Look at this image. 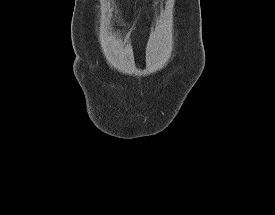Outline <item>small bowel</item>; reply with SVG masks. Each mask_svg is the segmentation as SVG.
Segmentation results:
<instances>
[{
    "label": "small bowel",
    "mask_w": 275,
    "mask_h": 215,
    "mask_svg": "<svg viewBox=\"0 0 275 215\" xmlns=\"http://www.w3.org/2000/svg\"><path fill=\"white\" fill-rule=\"evenodd\" d=\"M135 26H131L125 37H131L134 34Z\"/></svg>",
    "instance_id": "1"
}]
</instances>
